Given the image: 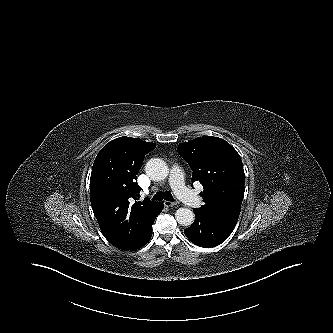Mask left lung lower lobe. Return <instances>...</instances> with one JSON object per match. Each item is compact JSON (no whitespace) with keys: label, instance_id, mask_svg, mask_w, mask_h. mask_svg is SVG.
<instances>
[{"label":"left lung lower lobe","instance_id":"1","mask_svg":"<svg viewBox=\"0 0 333 333\" xmlns=\"http://www.w3.org/2000/svg\"><path fill=\"white\" fill-rule=\"evenodd\" d=\"M194 213V223L184 232L192 243L201 247L209 248L221 244L236 225L200 208H194Z\"/></svg>","mask_w":333,"mask_h":333}]
</instances>
